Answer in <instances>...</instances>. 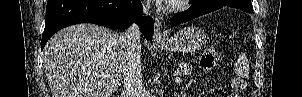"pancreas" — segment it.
Instances as JSON below:
<instances>
[{
    "label": "pancreas",
    "instance_id": "obj_1",
    "mask_svg": "<svg viewBox=\"0 0 302 97\" xmlns=\"http://www.w3.org/2000/svg\"><path fill=\"white\" fill-rule=\"evenodd\" d=\"M177 67L180 74L188 76L192 73V65H190L189 63L181 62L178 63Z\"/></svg>",
    "mask_w": 302,
    "mask_h": 97
}]
</instances>
